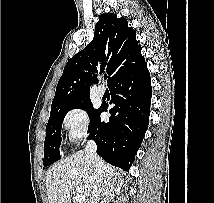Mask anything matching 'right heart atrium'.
<instances>
[{
    "label": "right heart atrium",
    "instance_id": "right-heart-atrium-1",
    "mask_svg": "<svg viewBox=\"0 0 214 203\" xmlns=\"http://www.w3.org/2000/svg\"><path fill=\"white\" fill-rule=\"evenodd\" d=\"M62 125L70 140H80L89 128L87 111L82 107L70 109L64 115Z\"/></svg>",
    "mask_w": 214,
    "mask_h": 203
}]
</instances>
